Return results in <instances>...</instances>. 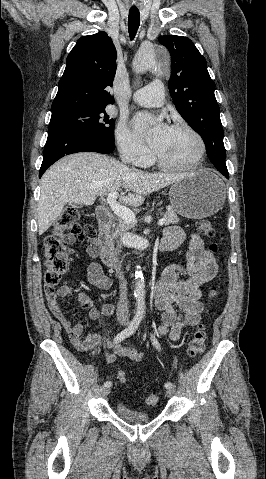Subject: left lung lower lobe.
I'll return each mask as SVG.
<instances>
[{"label": "left lung lower lobe", "instance_id": "0a47b994", "mask_svg": "<svg viewBox=\"0 0 266 479\" xmlns=\"http://www.w3.org/2000/svg\"><path fill=\"white\" fill-rule=\"evenodd\" d=\"M220 171V170H219ZM227 179H229V174H228V170H222L220 171Z\"/></svg>", "mask_w": 266, "mask_h": 479}]
</instances>
